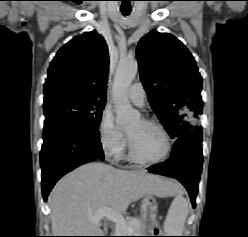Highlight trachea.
<instances>
[{"instance_id": "obj_1", "label": "trachea", "mask_w": 248, "mask_h": 237, "mask_svg": "<svg viewBox=\"0 0 248 237\" xmlns=\"http://www.w3.org/2000/svg\"><path fill=\"white\" fill-rule=\"evenodd\" d=\"M130 11H131V10H121V12H122V14H123L124 16L129 15V14H130Z\"/></svg>"}]
</instances>
